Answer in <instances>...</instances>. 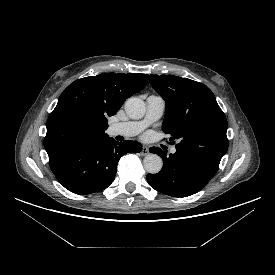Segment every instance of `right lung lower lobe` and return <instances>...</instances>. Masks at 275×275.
Masks as SVG:
<instances>
[{
  "mask_svg": "<svg viewBox=\"0 0 275 275\" xmlns=\"http://www.w3.org/2000/svg\"><path fill=\"white\" fill-rule=\"evenodd\" d=\"M141 150L137 141L120 143L108 137L51 152L49 165L66 189L87 195L111 185L121 156Z\"/></svg>",
  "mask_w": 275,
  "mask_h": 275,
  "instance_id": "right-lung-lower-lobe-1",
  "label": "right lung lower lobe"
}]
</instances>
